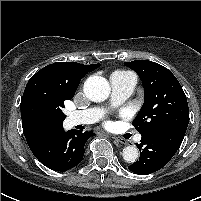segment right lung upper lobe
I'll use <instances>...</instances> for the list:
<instances>
[{"label":"right lung upper lobe","mask_w":201,"mask_h":201,"mask_svg":"<svg viewBox=\"0 0 201 201\" xmlns=\"http://www.w3.org/2000/svg\"><path fill=\"white\" fill-rule=\"evenodd\" d=\"M100 64L82 65L74 62H56L39 70L32 78H43L64 88L73 95L81 79ZM22 127L28 145L39 141L50 133L63 130V121L45 122L21 112Z\"/></svg>","instance_id":"right-lung-upper-lobe-1"}]
</instances>
